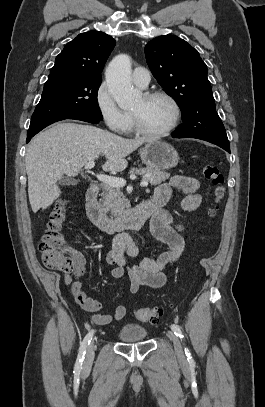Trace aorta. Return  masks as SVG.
<instances>
[{
	"mask_svg": "<svg viewBox=\"0 0 265 407\" xmlns=\"http://www.w3.org/2000/svg\"><path fill=\"white\" fill-rule=\"evenodd\" d=\"M106 82L109 91L120 108H130L140 99L131 78V59L126 54L117 55L106 68Z\"/></svg>",
	"mask_w": 265,
	"mask_h": 407,
	"instance_id": "aorta-1",
	"label": "aorta"
}]
</instances>
